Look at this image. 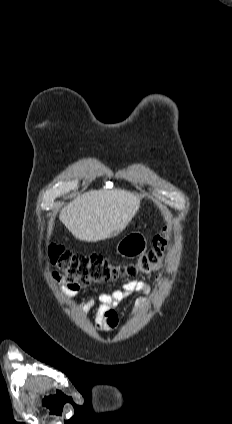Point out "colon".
<instances>
[{
	"mask_svg": "<svg viewBox=\"0 0 232 424\" xmlns=\"http://www.w3.org/2000/svg\"><path fill=\"white\" fill-rule=\"evenodd\" d=\"M169 231L163 228L153 239L151 249L144 252L136 262L116 265L98 253L76 254L52 244L49 257L55 267L54 278L71 289H80L91 284L104 283L123 277L159 270L168 253Z\"/></svg>",
	"mask_w": 232,
	"mask_h": 424,
	"instance_id": "5ec220e1",
	"label": "colon"
}]
</instances>
